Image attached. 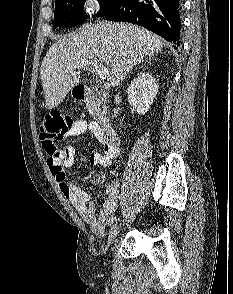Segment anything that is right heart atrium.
I'll return each instance as SVG.
<instances>
[{"label":"right heart atrium","mask_w":233,"mask_h":294,"mask_svg":"<svg viewBox=\"0 0 233 294\" xmlns=\"http://www.w3.org/2000/svg\"><path fill=\"white\" fill-rule=\"evenodd\" d=\"M82 9L88 15H96L102 9L101 0H82Z\"/></svg>","instance_id":"d8ad5b80"}]
</instances>
